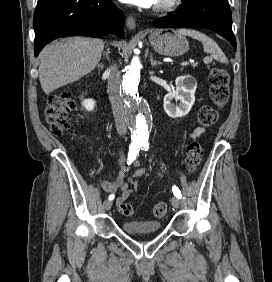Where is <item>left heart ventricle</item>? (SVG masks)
I'll return each instance as SVG.
<instances>
[{
	"label": "left heart ventricle",
	"instance_id": "1",
	"mask_svg": "<svg viewBox=\"0 0 272 282\" xmlns=\"http://www.w3.org/2000/svg\"><path fill=\"white\" fill-rule=\"evenodd\" d=\"M165 1H167V0H158L155 5H158V4L165 2Z\"/></svg>",
	"mask_w": 272,
	"mask_h": 282
}]
</instances>
